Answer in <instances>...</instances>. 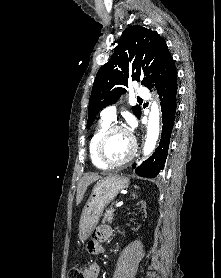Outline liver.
<instances>
[{"instance_id":"obj_1","label":"liver","mask_w":221,"mask_h":278,"mask_svg":"<svg viewBox=\"0 0 221 278\" xmlns=\"http://www.w3.org/2000/svg\"><path fill=\"white\" fill-rule=\"evenodd\" d=\"M101 178H102L101 176L96 175V174H86V175H84V176L79 180L78 186H77V194H76V205H77V206H78V205L81 203V201L83 200L84 194H85V192H86V190H87V187H88L91 183H93V182H95V181H97V180H99V179H101Z\"/></svg>"}]
</instances>
